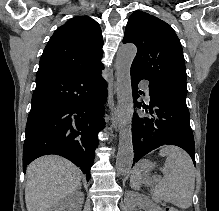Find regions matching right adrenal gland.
<instances>
[{
	"label": "right adrenal gland",
	"instance_id": "right-adrenal-gland-1",
	"mask_svg": "<svg viewBox=\"0 0 219 211\" xmlns=\"http://www.w3.org/2000/svg\"><path fill=\"white\" fill-rule=\"evenodd\" d=\"M78 189H79V193H82V191H81V187H78Z\"/></svg>",
	"mask_w": 219,
	"mask_h": 211
}]
</instances>
